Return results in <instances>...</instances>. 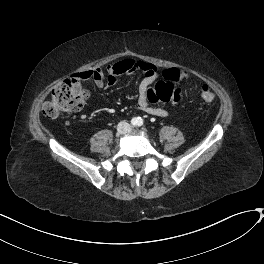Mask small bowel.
<instances>
[{"label":"small bowel","mask_w":264,"mask_h":264,"mask_svg":"<svg viewBox=\"0 0 264 264\" xmlns=\"http://www.w3.org/2000/svg\"><path fill=\"white\" fill-rule=\"evenodd\" d=\"M144 72L145 76L139 84V95L137 107L146 114L165 117L168 114L167 109L153 104L148 94V90L161 77L159 71L151 64L125 59L119 62L110 63L105 70L95 69L88 70L73 75L81 81L93 80L98 87L111 86L115 84L122 74ZM108 100L110 98H107Z\"/></svg>","instance_id":"1"}]
</instances>
